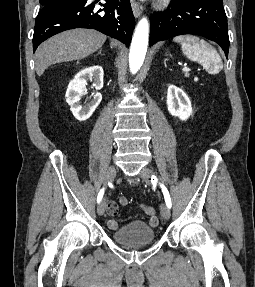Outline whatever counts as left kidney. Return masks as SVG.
<instances>
[{
  "label": "left kidney",
  "mask_w": 255,
  "mask_h": 287,
  "mask_svg": "<svg viewBox=\"0 0 255 287\" xmlns=\"http://www.w3.org/2000/svg\"><path fill=\"white\" fill-rule=\"evenodd\" d=\"M167 108L171 116H178L180 120H187L192 114L191 102L185 92L170 84L167 90Z\"/></svg>",
  "instance_id": "1"
}]
</instances>
